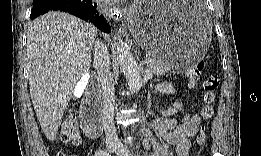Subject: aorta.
I'll list each match as a JSON object with an SVG mask.
<instances>
[{
  "label": "aorta",
  "instance_id": "aorta-1",
  "mask_svg": "<svg viewBox=\"0 0 261 156\" xmlns=\"http://www.w3.org/2000/svg\"><path fill=\"white\" fill-rule=\"evenodd\" d=\"M116 49L120 69L124 73L130 91L135 93L139 91L143 85V80L140 74V67L123 39H117Z\"/></svg>",
  "mask_w": 261,
  "mask_h": 156
}]
</instances>
